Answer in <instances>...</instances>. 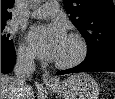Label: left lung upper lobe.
<instances>
[{
    "instance_id": "left-lung-upper-lobe-1",
    "label": "left lung upper lobe",
    "mask_w": 115,
    "mask_h": 99,
    "mask_svg": "<svg viewBox=\"0 0 115 99\" xmlns=\"http://www.w3.org/2000/svg\"><path fill=\"white\" fill-rule=\"evenodd\" d=\"M63 1L70 20L86 40V59L115 52V6L112 0Z\"/></svg>"
}]
</instances>
